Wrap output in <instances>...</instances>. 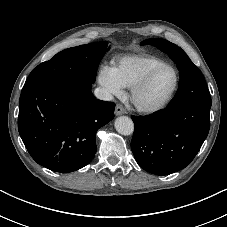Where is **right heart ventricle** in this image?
Instances as JSON below:
<instances>
[{
    "label": "right heart ventricle",
    "mask_w": 227,
    "mask_h": 227,
    "mask_svg": "<svg viewBox=\"0 0 227 227\" xmlns=\"http://www.w3.org/2000/svg\"><path fill=\"white\" fill-rule=\"evenodd\" d=\"M166 63L155 55L135 54L117 59L112 70L123 88H132L150 70Z\"/></svg>",
    "instance_id": "obj_1"
}]
</instances>
